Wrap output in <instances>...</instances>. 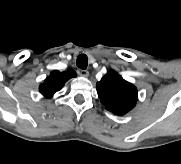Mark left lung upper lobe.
Listing matches in <instances>:
<instances>
[{
	"label": "left lung upper lobe",
	"mask_w": 181,
	"mask_h": 164,
	"mask_svg": "<svg viewBox=\"0 0 181 164\" xmlns=\"http://www.w3.org/2000/svg\"><path fill=\"white\" fill-rule=\"evenodd\" d=\"M98 96L106 109L116 115H124L137 102V88L124 80L114 70H110L96 84Z\"/></svg>",
	"instance_id": "obj_1"
}]
</instances>
